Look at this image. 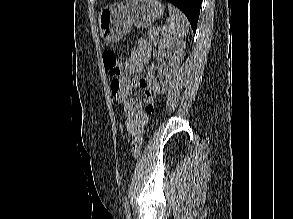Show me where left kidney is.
I'll return each instance as SVG.
<instances>
[{
	"label": "left kidney",
	"instance_id": "5707ae66",
	"mask_svg": "<svg viewBox=\"0 0 293 219\" xmlns=\"http://www.w3.org/2000/svg\"><path fill=\"white\" fill-rule=\"evenodd\" d=\"M165 48H169V51L167 52L169 62L164 68L165 72L163 80L158 82L153 75V70L155 68L154 64H151L147 69L149 86L157 94H164L171 86L173 78L177 74V70L183 58L185 43L183 41L165 37L159 41L158 54L165 53Z\"/></svg>",
	"mask_w": 293,
	"mask_h": 219
}]
</instances>
